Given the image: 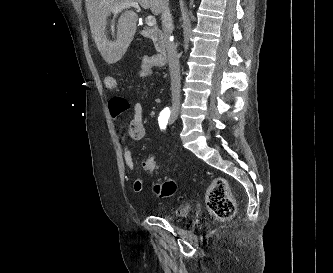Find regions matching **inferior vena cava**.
<instances>
[{
	"mask_svg": "<svg viewBox=\"0 0 333 273\" xmlns=\"http://www.w3.org/2000/svg\"><path fill=\"white\" fill-rule=\"evenodd\" d=\"M161 20L171 77L172 112L177 113L180 108L181 77L179 55L175 44L171 41L173 20L169 10L168 0H161Z\"/></svg>",
	"mask_w": 333,
	"mask_h": 273,
	"instance_id": "obj_1",
	"label": "inferior vena cava"
}]
</instances>
